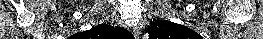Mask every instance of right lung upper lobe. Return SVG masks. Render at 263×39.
<instances>
[{
    "label": "right lung upper lobe",
    "mask_w": 263,
    "mask_h": 39,
    "mask_svg": "<svg viewBox=\"0 0 263 39\" xmlns=\"http://www.w3.org/2000/svg\"><path fill=\"white\" fill-rule=\"evenodd\" d=\"M128 33V31L121 28H114L106 24H101L88 31L82 32L81 35L84 36L85 39H97L100 37H102V39H124L130 36V33Z\"/></svg>",
    "instance_id": "cb5924a9"
}]
</instances>
